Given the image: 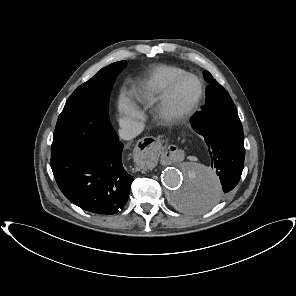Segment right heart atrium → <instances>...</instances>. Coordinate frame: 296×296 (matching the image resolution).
<instances>
[{
    "mask_svg": "<svg viewBox=\"0 0 296 296\" xmlns=\"http://www.w3.org/2000/svg\"><path fill=\"white\" fill-rule=\"evenodd\" d=\"M121 110L124 114V119L123 121H128L134 117H136L138 115V113L135 111V109L133 107H131L130 105H128L127 103L123 102L121 104Z\"/></svg>",
    "mask_w": 296,
    "mask_h": 296,
    "instance_id": "d8ad5b80",
    "label": "right heart atrium"
}]
</instances>
